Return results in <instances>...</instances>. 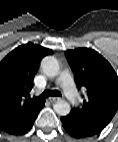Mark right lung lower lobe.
<instances>
[{
  "instance_id": "obj_1",
  "label": "right lung lower lobe",
  "mask_w": 118,
  "mask_h": 142,
  "mask_svg": "<svg viewBox=\"0 0 118 142\" xmlns=\"http://www.w3.org/2000/svg\"><path fill=\"white\" fill-rule=\"evenodd\" d=\"M42 107H43V106H42ZM40 109H41V108H40ZM36 115H37V114H36ZM35 117H36V116H35ZM34 119H35V118H34ZM33 122H34V120H33L27 127H25L24 129H22L21 131L15 133V134H24V133H26V132L32 127Z\"/></svg>"
}]
</instances>
